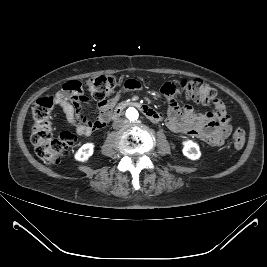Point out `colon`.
Listing matches in <instances>:
<instances>
[{"label":"colon","instance_id":"1","mask_svg":"<svg viewBox=\"0 0 267 267\" xmlns=\"http://www.w3.org/2000/svg\"><path fill=\"white\" fill-rule=\"evenodd\" d=\"M85 86L91 97L100 104L106 103L117 87V80L110 75L90 77ZM180 87L185 97L198 104H209L216 101V90L201 79H184ZM55 101L51 96L37 100L32 113L34 124L31 132V142L37 156L46 163H57L75 143V136L69 131L53 135L50 114ZM246 140L243 128H237L232 135V143L236 149H241Z\"/></svg>","mask_w":267,"mask_h":267}]
</instances>
